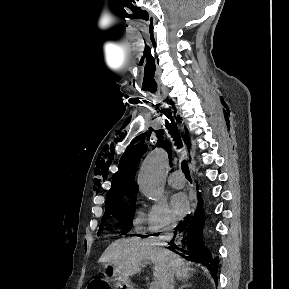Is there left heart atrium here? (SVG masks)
<instances>
[{"mask_svg": "<svg viewBox=\"0 0 289 289\" xmlns=\"http://www.w3.org/2000/svg\"><path fill=\"white\" fill-rule=\"evenodd\" d=\"M170 205L177 216L185 214L189 207L186 195L181 192L175 193L170 197Z\"/></svg>", "mask_w": 289, "mask_h": 289, "instance_id": "obj_1", "label": "left heart atrium"}]
</instances>
